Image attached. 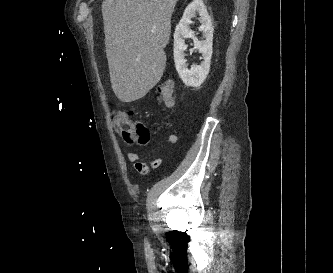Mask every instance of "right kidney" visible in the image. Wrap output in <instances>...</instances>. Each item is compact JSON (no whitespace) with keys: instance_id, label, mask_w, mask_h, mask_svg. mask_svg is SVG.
Masks as SVG:
<instances>
[{"instance_id":"1","label":"right kidney","mask_w":333,"mask_h":273,"mask_svg":"<svg viewBox=\"0 0 333 273\" xmlns=\"http://www.w3.org/2000/svg\"><path fill=\"white\" fill-rule=\"evenodd\" d=\"M198 14L200 16V27L198 30L203 33L204 40L199 41L194 37V32L190 29L191 19ZM186 38H192L194 46L203 56L200 65L188 68L185 59ZM213 27L207 9L202 0H194L185 9L183 16L176 26L174 33V62L176 70L186 86L198 87L206 79L212 56Z\"/></svg>"}]
</instances>
